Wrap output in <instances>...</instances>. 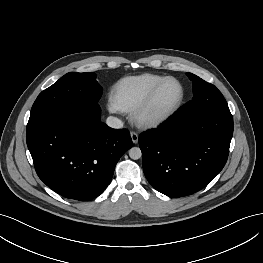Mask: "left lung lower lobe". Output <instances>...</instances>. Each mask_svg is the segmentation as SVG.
I'll return each mask as SVG.
<instances>
[{
  "label": "left lung lower lobe",
  "mask_w": 263,
  "mask_h": 263,
  "mask_svg": "<svg viewBox=\"0 0 263 263\" xmlns=\"http://www.w3.org/2000/svg\"><path fill=\"white\" fill-rule=\"evenodd\" d=\"M233 135L231 113L208 114L184 122L176 112L157 129L139 136L144 174L170 197L193 194L223 169Z\"/></svg>",
  "instance_id": "left-lung-lower-lobe-1"
}]
</instances>
